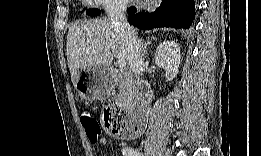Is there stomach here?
I'll use <instances>...</instances> for the list:
<instances>
[{"label": "stomach", "instance_id": "1", "mask_svg": "<svg viewBox=\"0 0 261 156\" xmlns=\"http://www.w3.org/2000/svg\"><path fill=\"white\" fill-rule=\"evenodd\" d=\"M85 77L80 75L75 87L82 99L93 101L105 96L112 87V75L106 65L88 67L84 71Z\"/></svg>", "mask_w": 261, "mask_h": 156}]
</instances>
